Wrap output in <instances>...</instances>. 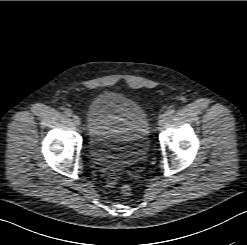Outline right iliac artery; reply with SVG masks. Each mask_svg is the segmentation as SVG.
Segmentation results:
<instances>
[{"instance_id":"82829eb1","label":"right iliac artery","mask_w":247,"mask_h":245,"mask_svg":"<svg viewBox=\"0 0 247 245\" xmlns=\"http://www.w3.org/2000/svg\"><path fill=\"white\" fill-rule=\"evenodd\" d=\"M65 114H66L67 116H71V115H72V111H71L70 109H66V110H65Z\"/></svg>"}]
</instances>
